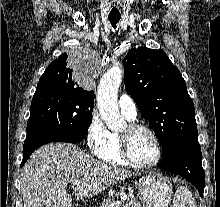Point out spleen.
Instances as JSON below:
<instances>
[{"label": "spleen", "mask_w": 220, "mask_h": 207, "mask_svg": "<svg viewBox=\"0 0 220 207\" xmlns=\"http://www.w3.org/2000/svg\"><path fill=\"white\" fill-rule=\"evenodd\" d=\"M173 207H197V206L192 193L184 186H180L176 190V194L173 200Z\"/></svg>", "instance_id": "obj_1"}]
</instances>
